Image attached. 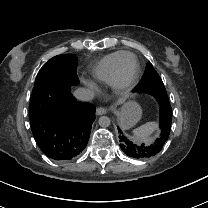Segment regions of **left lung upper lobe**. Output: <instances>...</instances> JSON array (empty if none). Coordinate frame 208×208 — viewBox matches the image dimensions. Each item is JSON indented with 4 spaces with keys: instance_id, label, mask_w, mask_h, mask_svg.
<instances>
[{
    "instance_id": "5c2ea615",
    "label": "left lung upper lobe",
    "mask_w": 208,
    "mask_h": 208,
    "mask_svg": "<svg viewBox=\"0 0 208 208\" xmlns=\"http://www.w3.org/2000/svg\"><path fill=\"white\" fill-rule=\"evenodd\" d=\"M134 92L148 93L156 98L168 100L164 84L152 64L147 66V72Z\"/></svg>"
}]
</instances>
